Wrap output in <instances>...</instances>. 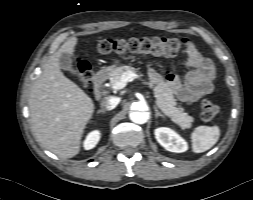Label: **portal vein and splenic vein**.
I'll return each mask as SVG.
<instances>
[{"label":"portal vein and splenic vein","instance_id":"obj_1","mask_svg":"<svg viewBox=\"0 0 253 200\" xmlns=\"http://www.w3.org/2000/svg\"><path fill=\"white\" fill-rule=\"evenodd\" d=\"M136 78H140V76L138 74H135L133 72H125L119 81H117L116 83H114L112 86H111V89L114 90V91H117V90H120V89H123L127 83L133 79H136Z\"/></svg>","mask_w":253,"mask_h":200}]
</instances>
